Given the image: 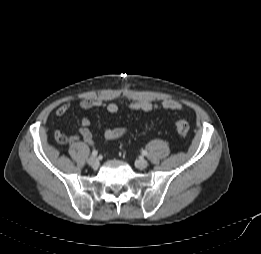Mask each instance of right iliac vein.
I'll list each match as a JSON object with an SVG mask.
<instances>
[{
	"mask_svg": "<svg viewBox=\"0 0 261 254\" xmlns=\"http://www.w3.org/2000/svg\"><path fill=\"white\" fill-rule=\"evenodd\" d=\"M87 163L93 168V169H97L98 166H99V160L94 157V156H91L87 159Z\"/></svg>",
	"mask_w": 261,
	"mask_h": 254,
	"instance_id": "1",
	"label": "right iliac vein"
}]
</instances>
